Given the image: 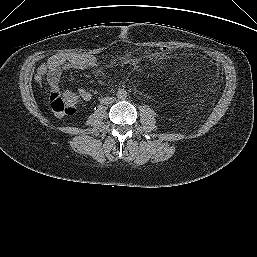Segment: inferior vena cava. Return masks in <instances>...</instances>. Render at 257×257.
Instances as JSON below:
<instances>
[{
	"label": "inferior vena cava",
	"mask_w": 257,
	"mask_h": 257,
	"mask_svg": "<svg viewBox=\"0 0 257 257\" xmlns=\"http://www.w3.org/2000/svg\"><path fill=\"white\" fill-rule=\"evenodd\" d=\"M113 101H114V98H112V97H107V98L102 99V103H105V104H110Z\"/></svg>",
	"instance_id": "inferior-vena-cava-1"
}]
</instances>
